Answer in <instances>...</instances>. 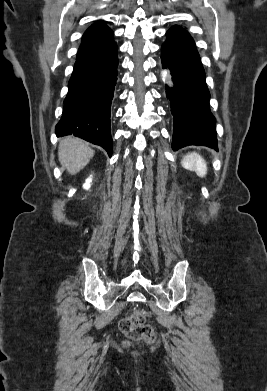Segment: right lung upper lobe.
<instances>
[{"instance_id": "1", "label": "right lung upper lobe", "mask_w": 267, "mask_h": 391, "mask_svg": "<svg viewBox=\"0 0 267 391\" xmlns=\"http://www.w3.org/2000/svg\"><path fill=\"white\" fill-rule=\"evenodd\" d=\"M113 31L103 22L99 21L91 25L82 37V43L77 53V58L93 53L114 43Z\"/></svg>"}]
</instances>
